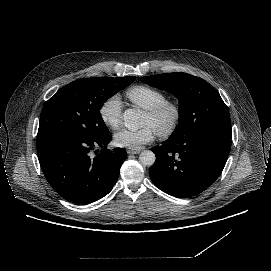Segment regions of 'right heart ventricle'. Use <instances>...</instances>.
<instances>
[{
  "label": "right heart ventricle",
  "instance_id": "1",
  "mask_svg": "<svg viewBox=\"0 0 271 271\" xmlns=\"http://www.w3.org/2000/svg\"><path fill=\"white\" fill-rule=\"evenodd\" d=\"M126 96L145 110L167 100L163 91L148 85L133 86L126 91Z\"/></svg>",
  "mask_w": 271,
  "mask_h": 271
}]
</instances>
